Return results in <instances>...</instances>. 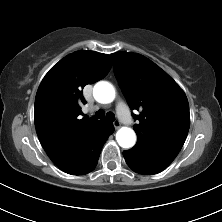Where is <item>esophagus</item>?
I'll use <instances>...</instances> for the list:
<instances>
[{"instance_id":"34e87169","label":"esophagus","mask_w":222,"mask_h":222,"mask_svg":"<svg viewBox=\"0 0 222 222\" xmlns=\"http://www.w3.org/2000/svg\"><path fill=\"white\" fill-rule=\"evenodd\" d=\"M113 125H114L115 129H118L120 127V122L118 120H115L113 122Z\"/></svg>"}]
</instances>
